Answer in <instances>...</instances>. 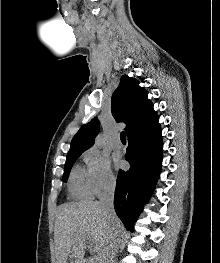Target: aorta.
Returning a JSON list of instances; mask_svg holds the SVG:
<instances>
[{
	"label": "aorta",
	"mask_w": 220,
	"mask_h": 263,
	"mask_svg": "<svg viewBox=\"0 0 220 263\" xmlns=\"http://www.w3.org/2000/svg\"><path fill=\"white\" fill-rule=\"evenodd\" d=\"M95 146H96L97 148H100V147L102 146V140H101L100 137L97 138V140H96V142H95Z\"/></svg>",
	"instance_id": "obj_1"
}]
</instances>
